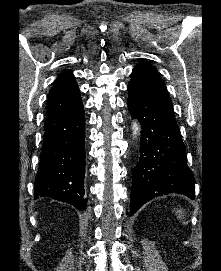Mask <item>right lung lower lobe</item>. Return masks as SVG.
Wrapping results in <instances>:
<instances>
[{
  "mask_svg": "<svg viewBox=\"0 0 221 271\" xmlns=\"http://www.w3.org/2000/svg\"><path fill=\"white\" fill-rule=\"evenodd\" d=\"M34 198L47 196L84 209L85 116L82 100L47 115Z\"/></svg>",
  "mask_w": 221,
  "mask_h": 271,
  "instance_id": "obj_1",
  "label": "right lung lower lobe"
}]
</instances>
